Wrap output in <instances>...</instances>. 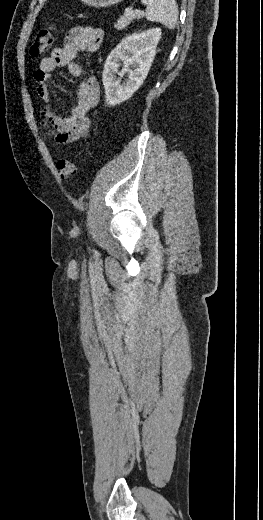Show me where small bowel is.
<instances>
[{"instance_id": "obj_1", "label": "small bowel", "mask_w": 263, "mask_h": 520, "mask_svg": "<svg viewBox=\"0 0 263 520\" xmlns=\"http://www.w3.org/2000/svg\"><path fill=\"white\" fill-rule=\"evenodd\" d=\"M103 38L104 32L100 28L75 26L68 31L61 46L53 48L48 57L40 60L34 72L37 95L42 102L41 123L55 137L58 144H69L87 137L91 128L88 113L98 103L100 88L97 79L92 75L81 81L77 87L76 105L70 115L62 117L55 113L51 103V73L56 68L66 67L72 76L81 78L82 69L73 61L74 57L79 52L97 51Z\"/></svg>"}]
</instances>
